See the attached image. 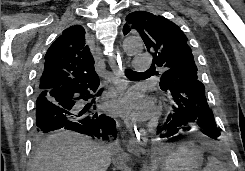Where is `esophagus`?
<instances>
[{
    "mask_svg": "<svg viewBox=\"0 0 245 171\" xmlns=\"http://www.w3.org/2000/svg\"><path fill=\"white\" fill-rule=\"evenodd\" d=\"M109 64L113 73V81L116 85L118 92L122 95L127 87L128 81L126 80L123 73L124 63L122 59L111 57L109 58ZM125 125L133 136V142H130L128 145V149L133 152H138L137 144L145 145L148 141L147 133L143 128H140L135 123L129 121L125 118Z\"/></svg>",
    "mask_w": 245,
    "mask_h": 171,
    "instance_id": "obj_1",
    "label": "esophagus"
}]
</instances>
